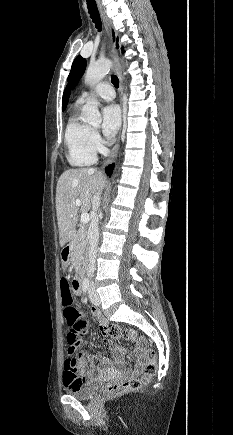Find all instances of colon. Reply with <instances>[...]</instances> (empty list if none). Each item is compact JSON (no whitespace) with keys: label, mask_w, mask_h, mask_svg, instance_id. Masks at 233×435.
I'll return each instance as SVG.
<instances>
[{"label":"colon","mask_w":233,"mask_h":435,"mask_svg":"<svg viewBox=\"0 0 233 435\" xmlns=\"http://www.w3.org/2000/svg\"><path fill=\"white\" fill-rule=\"evenodd\" d=\"M63 280L66 281L67 278L64 277ZM63 301L66 306L64 309V317L67 324L70 326L79 318V313L73 305L74 299L71 294L66 296ZM109 333L114 338H120L123 336L127 341H134L137 339V334L135 330H123L117 325L111 326L109 329ZM66 352L70 357L77 358L76 347L73 344L72 340L67 341ZM155 373V351L149 349L146 352V365L140 378H129L122 382L111 383L103 389L102 395L106 398H115L138 390L142 385L149 384L152 381Z\"/></svg>","instance_id":"colon-1"}]
</instances>
